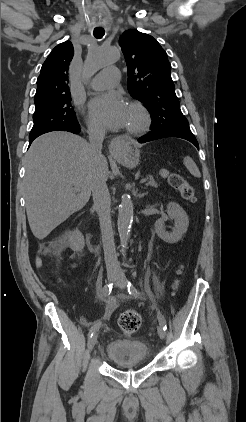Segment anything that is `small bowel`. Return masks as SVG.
<instances>
[{
	"label": "small bowel",
	"mask_w": 246,
	"mask_h": 422,
	"mask_svg": "<svg viewBox=\"0 0 246 422\" xmlns=\"http://www.w3.org/2000/svg\"><path fill=\"white\" fill-rule=\"evenodd\" d=\"M115 308H116L115 297L113 296L108 297L106 301L105 312L102 316V320H107L111 316V314L114 312Z\"/></svg>",
	"instance_id": "1"
}]
</instances>
